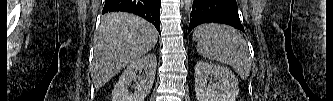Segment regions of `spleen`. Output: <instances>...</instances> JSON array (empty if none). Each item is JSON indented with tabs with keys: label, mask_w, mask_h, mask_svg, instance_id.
<instances>
[{
	"label": "spleen",
	"mask_w": 333,
	"mask_h": 101,
	"mask_svg": "<svg viewBox=\"0 0 333 101\" xmlns=\"http://www.w3.org/2000/svg\"><path fill=\"white\" fill-rule=\"evenodd\" d=\"M193 39L197 51L205 58L230 65L243 79L251 71V58L243 36L227 25L203 24L198 26Z\"/></svg>",
	"instance_id": "spleen-1"
}]
</instances>
